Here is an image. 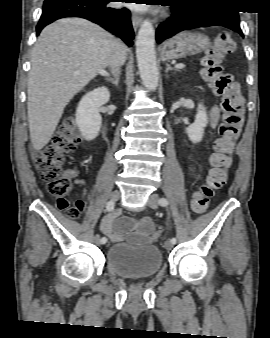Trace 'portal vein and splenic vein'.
<instances>
[{
    "label": "portal vein and splenic vein",
    "instance_id": "portal-vein-and-splenic-vein-1",
    "mask_svg": "<svg viewBox=\"0 0 270 338\" xmlns=\"http://www.w3.org/2000/svg\"><path fill=\"white\" fill-rule=\"evenodd\" d=\"M184 67H185V65L182 64V63H179V64H176V65H175V68H176V69H182V68H184Z\"/></svg>",
    "mask_w": 270,
    "mask_h": 338
}]
</instances>
